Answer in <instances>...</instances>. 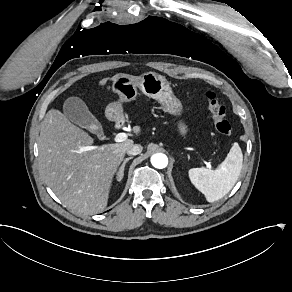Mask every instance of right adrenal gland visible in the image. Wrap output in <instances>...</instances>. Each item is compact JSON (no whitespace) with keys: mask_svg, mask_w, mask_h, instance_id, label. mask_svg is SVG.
Returning a JSON list of instances; mask_svg holds the SVG:
<instances>
[{"mask_svg":"<svg viewBox=\"0 0 292 292\" xmlns=\"http://www.w3.org/2000/svg\"><path fill=\"white\" fill-rule=\"evenodd\" d=\"M131 159H133L132 156L126 158V159L124 160V162L122 163L121 167L119 168V171L117 172V176H116L117 181L120 182V181L123 179V177H124V169H125V165H126V163H127L129 160H131Z\"/></svg>","mask_w":292,"mask_h":292,"instance_id":"right-adrenal-gland-1","label":"right adrenal gland"}]
</instances>
